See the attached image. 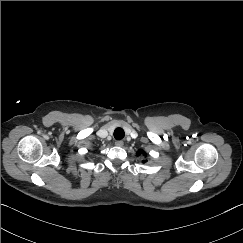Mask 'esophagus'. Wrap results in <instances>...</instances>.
Instances as JSON below:
<instances>
[{"instance_id": "obj_1", "label": "esophagus", "mask_w": 243, "mask_h": 243, "mask_svg": "<svg viewBox=\"0 0 243 243\" xmlns=\"http://www.w3.org/2000/svg\"><path fill=\"white\" fill-rule=\"evenodd\" d=\"M123 141H121V140H117V141H115V145L116 146H118V147H122L123 146Z\"/></svg>"}]
</instances>
